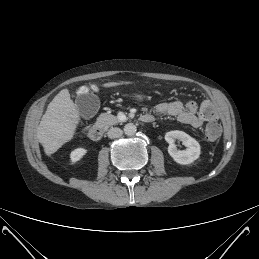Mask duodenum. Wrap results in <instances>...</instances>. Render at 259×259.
I'll list each match as a JSON object with an SVG mask.
<instances>
[{
    "label": "duodenum",
    "instance_id": "1",
    "mask_svg": "<svg viewBox=\"0 0 259 259\" xmlns=\"http://www.w3.org/2000/svg\"><path fill=\"white\" fill-rule=\"evenodd\" d=\"M140 120L143 123H151L154 120V117L150 114H144L140 116ZM104 135V129L100 125H94L89 130V137L93 141H99Z\"/></svg>",
    "mask_w": 259,
    "mask_h": 259
}]
</instances>
